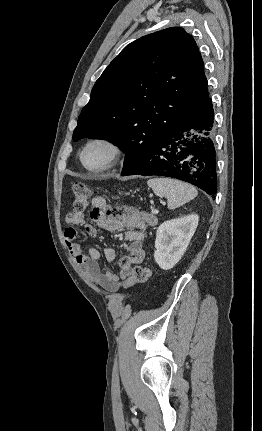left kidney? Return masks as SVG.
<instances>
[{"instance_id": "left-kidney-1", "label": "left kidney", "mask_w": 262, "mask_h": 431, "mask_svg": "<svg viewBox=\"0 0 262 431\" xmlns=\"http://www.w3.org/2000/svg\"><path fill=\"white\" fill-rule=\"evenodd\" d=\"M199 216H184L163 222L157 229L155 240V262L163 270L175 266L184 255L198 226Z\"/></svg>"}]
</instances>
